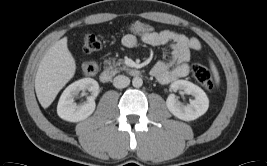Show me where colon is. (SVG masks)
<instances>
[{"mask_svg": "<svg viewBox=\"0 0 267 166\" xmlns=\"http://www.w3.org/2000/svg\"><path fill=\"white\" fill-rule=\"evenodd\" d=\"M129 30L136 34H145L153 30V28L145 23L136 22L129 26ZM103 42L99 36L95 34H87L83 38V49L87 53H92L100 50ZM98 66L93 61H88L82 64V72L85 75H94L97 72ZM190 71L193 77L208 90L215 89V82L210 71L201 64L193 63L190 66Z\"/></svg>", "mask_w": 267, "mask_h": 166, "instance_id": "obj_1", "label": "colon"}]
</instances>
